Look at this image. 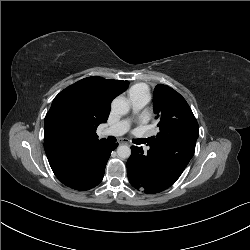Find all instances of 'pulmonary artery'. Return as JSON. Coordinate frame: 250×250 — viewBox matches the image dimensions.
I'll return each instance as SVG.
<instances>
[{"mask_svg":"<svg viewBox=\"0 0 250 250\" xmlns=\"http://www.w3.org/2000/svg\"><path fill=\"white\" fill-rule=\"evenodd\" d=\"M132 109L134 112L141 110L148 102V99L143 96L129 97ZM129 129V121L122 120L103 131L104 136H120L126 133Z\"/></svg>","mask_w":250,"mask_h":250,"instance_id":"1","label":"pulmonary artery"}]
</instances>
